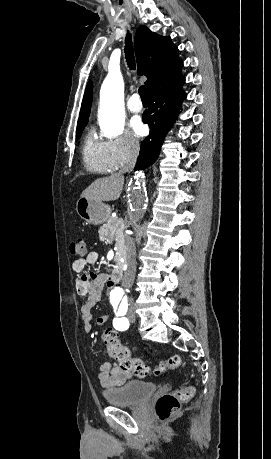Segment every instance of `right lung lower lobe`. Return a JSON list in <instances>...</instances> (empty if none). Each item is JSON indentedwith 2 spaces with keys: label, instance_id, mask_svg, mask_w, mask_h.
I'll use <instances>...</instances> for the list:
<instances>
[{
  "label": "right lung lower lobe",
  "instance_id": "right-lung-lower-lobe-1",
  "mask_svg": "<svg viewBox=\"0 0 271 459\" xmlns=\"http://www.w3.org/2000/svg\"><path fill=\"white\" fill-rule=\"evenodd\" d=\"M181 73L171 75L148 91L149 109L143 114V121L150 127V135L143 140L134 170L144 169L158 158L167 130L172 126L186 98Z\"/></svg>",
  "mask_w": 271,
  "mask_h": 459
}]
</instances>
